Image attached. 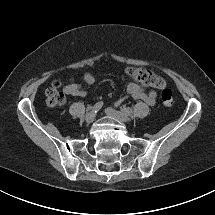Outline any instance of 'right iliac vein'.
<instances>
[{
	"mask_svg": "<svg viewBox=\"0 0 215 215\" xmlns=\"http://www.w3.org/2000/svg\"><path fill=\"white\" fill-rule=\"evenodd\" d=\"M95 117H96V112L92 110L85 115V121L87 123H91L94 121Z\"/></svg>",
	"mask_w": 215,
	"mask_h": 215,
	"instance_id": "right-iliac-vein-1",
	"label": "right iliac vein"
}]
</instances>
